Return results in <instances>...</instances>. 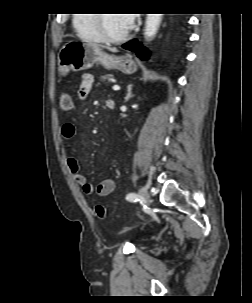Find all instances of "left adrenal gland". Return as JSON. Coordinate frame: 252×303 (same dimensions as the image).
Returning <instances> with one entry per match:
<instances>
[{
	"instance_id": "1",
	"label": "left adrenal gland",
	"mask_w": 252,
	"mask_h": 303,
	"mask_svg": "<svg viewBox=\"0 0 252 303\" xmlns=\"http://www.w3.org/2000/svg\"><path fill=\"white\" fill-rule=\"evenodd\" d=\"M132 86L133 85H128V87H127V94H126V97H125V102H127L131 97H133V95H132Z\"/></svg>"
}]
</instances>
